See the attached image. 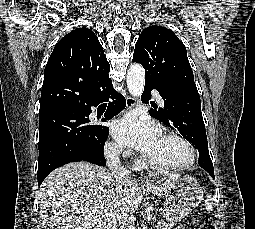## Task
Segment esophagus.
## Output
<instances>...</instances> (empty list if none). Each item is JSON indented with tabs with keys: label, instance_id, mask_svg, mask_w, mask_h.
I'll list each match as a JSON object with an SVG mask.
<instances>
[{
	"label": "esophagus",
	"instance_id": "obj_1",
	"mask_svg": "<svg viewBox=\"0 0 255 229\" xmlns=\"http://www.w3.org/2000/svg\"><path fill=\"white\" fill-rule=\"evenodd\" d=\"M135 104H136V100H135V98H133L132 96H127L126 97V106H127V108L128 109H131V108H133L134 106H135ZM141 183L143 184V185H146V186H152L153 184H152V182L151 181H149L148 179H146V178H142L141 179Z\"/></svg>",
	"mask_w": 255,
	"mask_h": 229
}]
</instances>
